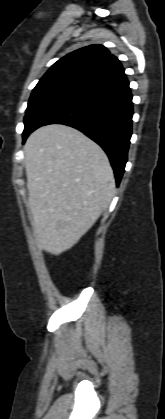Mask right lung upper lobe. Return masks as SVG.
<instances>
[{"label": "right lung upper lobe", "mask_w": 165, "mask_h": 419, "mask_svg": "<svg viewBox=\"0 0 165 419\" xmlns=\"http://www.w3.org/2000/svg\"><path fill=\"white\" fill-rule=\"evenodd\" d=\"M126 77L120 61L102 45H91L58 60L35 89L62 87L89 94Z\"/></svg>", "instance_id": "cb5924a9"}]
</instances>
